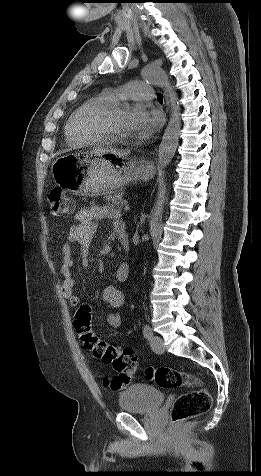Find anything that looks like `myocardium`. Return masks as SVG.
<instances>
[{"label":"myocardium","mask_w":261,"mask_h":476,"mask_svg":"<svg viewBox=\"0 0 261 476\" xmlns=\"http://www.w3.org/2000/svg\"><path fill=\"white\" fill-rule=\"evenodd\" d=\"M128 106L127 103L117 101L94 106L84 116L83 124L85 129L104 141H126L127 136L117 134L110 127L109 119L115 113L128 109Z\"/></svg>","instance_id":"obj_1"}]
</instances>
